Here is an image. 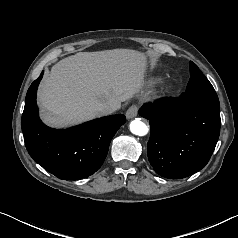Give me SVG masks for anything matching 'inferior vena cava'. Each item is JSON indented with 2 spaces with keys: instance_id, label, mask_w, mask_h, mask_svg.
<instances>
[{
  "instance_id": "1",
  "label": "inferior vena cava",
  "mask_w": 238,
  "mask_h": 238,
  "mask_svg": "<svg viewBox=\"0 0 238 238\" xmlns=\"http://www.w3.org/2000/svg\"><path fill=\"white\" fill-rule=\"evenodd\" d=\"M117 109L118 107L116 105H101L98 107V112L100 115H109Z\"/></svg>"
}]
</instances>
